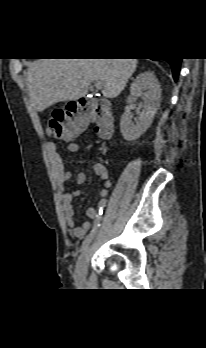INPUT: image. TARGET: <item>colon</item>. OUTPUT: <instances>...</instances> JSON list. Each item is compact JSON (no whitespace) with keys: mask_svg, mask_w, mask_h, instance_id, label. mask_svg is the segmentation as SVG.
Here are the masks:
<instances>
[{"mask_svg":"<svg viewBox=\"0 0 206 348\" xmlns=\"http://www.w3.org/2000/svg\"><path fill=\"white\" fill-rule=\"evenodd\" d=\"M112 122V112L106 103L80 98L64 108L54 110L49 120V129L54 140L66 141L73 139L93 123L101 137H108L112 132Z\"/></svg>","mask_w":206,"mask_h":348,"instance_id":"5ec220e1","label":"colon"}]
</instances>
